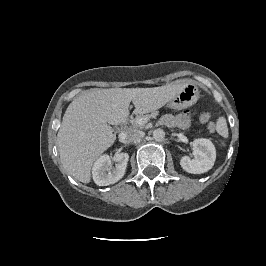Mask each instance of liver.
<instances>
[{"mask_svg":"<svg viewBox=\"0 0 266 266\" xmlns=\"http://www.w3.org/2000/svg\"><path fill=\"white\" fill-rule=\"evenodd\" d=\"M184 84L154 88L90 89L75 98L66 109L57 134L61 163L68 174L82 183L91 180L95 161L116 140L110 125H118L134 114L157 110L169 102Z\"/></svg>","mask_w":266,"mask_h":266,"instance_id":"obj_1","label":"liver"}]
</instances>
